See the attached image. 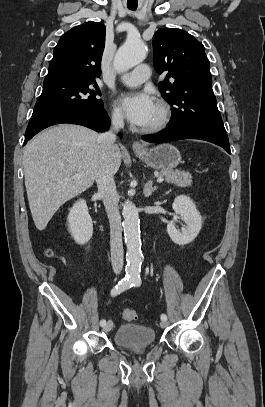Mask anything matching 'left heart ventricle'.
I'll list each match as a JSON object with an SVG mask.
<instances>
[{
	"instance_id": "1",
	"label": "left heart ventricle",
	"mask_w": 265,
	"mask_h": 407,
	"mask_svg": "<svg viewBox=\"0 0 265 407\" xmlns=\"http://www.w3.org/2000/svg\"><path fill=\"white\" fill-rule=\"evenodd\" d=\"M158 117H159V109H158V107L156 106V107H155V110H154V113L152 114L150 120L147 122V124H146L144 127L150 126V125H152L153 123H155L156 120L158 119Z\"/></svg>"
}]
</instances>
